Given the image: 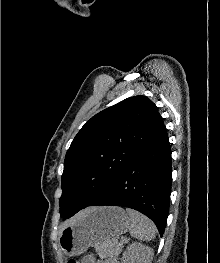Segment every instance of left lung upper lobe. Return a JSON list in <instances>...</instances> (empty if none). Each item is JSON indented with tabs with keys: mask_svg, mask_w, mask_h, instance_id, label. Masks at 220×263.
Returning <instances> with one entry per match:
<instances>
[{
	"mask_svg": "<svg viewBox=\"0 0 220 263\" xmlns=\"http://www.w3.org/2000/svg\"><path fill=\"white\" fill-rule=\"evenodd\" d=\"M164 125L156 105L134 96L93 116L72 141L62 174L61 217L86 208Z\"/></svg>",
	"mask_w": 220,
	"mask_h": 263,
	"instance_id": "5c2ea615",
	"label": "left lung upper lobe"
}]
</instances>
